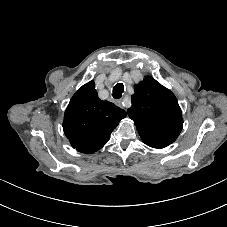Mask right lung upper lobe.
<instances>
[{"mask_svg": "<svg viewBox=\"0 0 227 227\" xmlns=\"http://www.w3.org/2000/svg\"><path fill=\"white\" fill-rule=\"evenodd\" d=\"M126 112L99 99L94 81L83 85L71 98L64 114L63 130L73 148L92 154L109 140Z\"/></svg>", "mask_w": 227, "mask_h": 227, "instance_id": "1", "label": "right lung upper lobe"}]
</instances>
